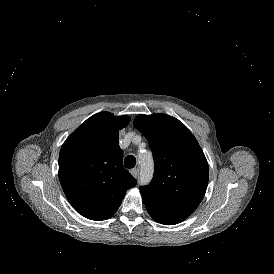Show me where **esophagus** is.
Wrapping results in <instances>:
<instances>
[{
  "mask_svg": "<svg viewBox=\"0 0 274 274\" xmlns=\"http://www.w3.org/2000/svg\"><path fill=\"white\" fill-rule=\"evenodd\" d=\"M130 173L135 177V178H138L139 176V169L137 168H134L130 171Z\"/></svg>",
  "mask_w": 274,
  "mask_h": 274,
  "instance_id": "1",
  "label": "esophagus"
}]
</instances>
